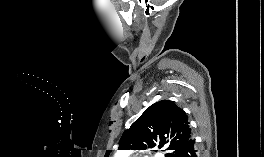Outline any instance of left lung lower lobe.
<instances>
[{"label":"left lung lower lobe","instance_id":"obj_1","mask_svg":"<svg viewBox=\"0 0 264 157\" xmlns=\"http://www.w3.org/2000/svg\"><path fill=\"white\" fill-rule=\"evenodd\" d=\"M179 157H199L196 150V144L193 138H191L181 149Z\"/></svg>","mask_w":264,"mask_h":157}]
</instances>
